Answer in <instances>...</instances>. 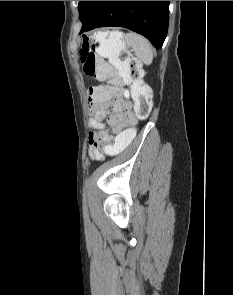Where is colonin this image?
Wrapping results in <instances>:
<instances>
[{"label":"colon","mask_w":233,"mask_h":295,"mask_svg":"<svg viewBox=\"0 0 233 295\" xmlns=\"http://www.w3.org/2000/svg\"><path fill=\"white\" fill-rule=\"evenodd\" d=\"M84 73L104 82L88 90L89 97L118 95L123 84H130L136 117L145 120L152 109L150 87L142 79L140 61L128 51L124 35L117 31H101L85 35L80 49ZM135 129L118 133L105 149L110 155L124 151L135 139Z\"/></svg>","instance_id":"1"}]
</instances>
